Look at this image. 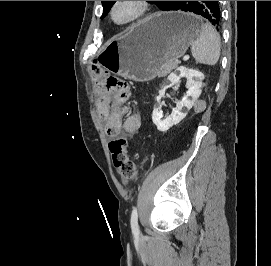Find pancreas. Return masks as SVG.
Listing matches in <instances>:
<instances>
[{"mask_svg": "<svg viewBox=\"0 0 271 266\" xmlns=\"http://www.w3.org/2000/svg\"><path fill=\"white\" fill-rule=\"evenodd\" d=\"M178 62L174 61V62H167L165 63L162 68L163 71L160 74V76H165L170 70H172L173 68H175L177 66Z\"/></svg>", "mask_w": 271, "mask_h": 266, "instance_id": "pancreas-1", "label": "pancreas"}]
</instances>
